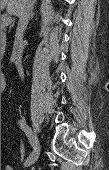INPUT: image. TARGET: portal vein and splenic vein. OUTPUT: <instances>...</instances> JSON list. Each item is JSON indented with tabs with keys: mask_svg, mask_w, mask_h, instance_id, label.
I'll return each instance as SVG.
<instances>
[{
	"mask_svg": "<svg viewBox=\"0 0 109 170\" xmlns=\"http://www.w3.org/2000/svg\"><path fill=\"white\" fill-rule=\"evenodd\" d=\"M11 22H12V18L9 17V16L3 17V18L1 19V24H2V25H5V26L10 25Z\"/></svg>",
	"mask_w": 109,
	"mask_h": 170,
	"instance_id": "18ae733b",
	"label": "portal vein and splenic vein"
}]
</instances>
